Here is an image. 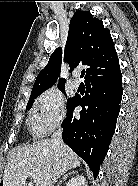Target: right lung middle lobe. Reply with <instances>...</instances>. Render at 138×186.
I'll return each instance as SVG.
<instances>
[{
	"instance_id": "1",
	"label": "right lung middle lobe",
	"mask_w": 138,
	"mask_h": 186,
	"mask_svg": "<svg viewBox=\"0 0 138 186\" xmlns=\"http://www.w3.org/2000/svg\"><path fill=\"white\" fill-rule=\"evenodd\" d=\"M59 88H60V90H61L62 92H64V87H59ZM40 94H41V93L31 94V95H30V99H29V101H28V103H27V109H30V108H31L34 99H35L37 96H39ZM72 101H73V98H69V99L67 100V107L71 104Z\"/></svg>"
}]
</instances>
